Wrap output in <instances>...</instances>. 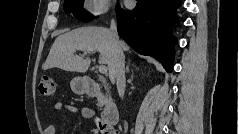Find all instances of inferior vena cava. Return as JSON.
<instances>
[{"mask_svg":"<svg viewBox=\"0 0 239 134\" xmlns=\"http://www.w3.org/2000/svg\"><path fill=\"white\" fill-rule=\"evenodd\" d=\"M110 33L114 43V56L111 65V73L116 79L117 90L121 98L124 97L125 92V56L119 46V37L115 21L111 20Z\"/></svg>","mask_w":239,"mask_h":134,"instance_id":"602c4592","label":"inferior vena cava"}]
</instances>
